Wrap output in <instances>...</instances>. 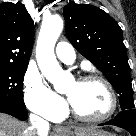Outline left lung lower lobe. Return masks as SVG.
<instances>
[{
  "mask_svg": "<svg viewBox=\"0 0 136 136\" xmlns=\"http://www.w3.org/2000/svg\"><path fill=\"white\" fill-rule=\"evenodd\" d=\"M100 125H114L127 130L132 136H136V109L122 110L114 120Z\"/></svg>",
  "mask_w": 136,
  "mask_h": 136,
  "instance_id": "1",
  "label": "left lung lower lobe"
}]
</instances>
